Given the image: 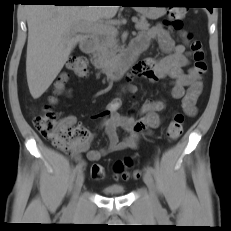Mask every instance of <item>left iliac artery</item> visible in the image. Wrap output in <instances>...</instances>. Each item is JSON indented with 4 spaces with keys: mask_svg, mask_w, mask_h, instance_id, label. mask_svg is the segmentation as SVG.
<instances>
[{
    "mask_svg": "<svg viewBox=\"0 0 231 231\" xmlns=\"http://www.w3.org/2000/svg\"><path fill=\"white\" fill-rule=\"evenodd\" d=\"M146 171H148L150 174H154L155 173V170L153 169V167L151 166H146Z\"/></svg>",
    "mask_w": 231,
    "mask_h": 231,
    "instance_id": "1",
    "label": "left iliac artery"
}]
</instances>
